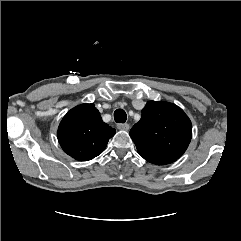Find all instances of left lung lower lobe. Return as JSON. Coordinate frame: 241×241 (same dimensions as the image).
I'll return each mask as SVG.
<instances>
[{
    "mask_svg": "<svg viewBox=\"0 0 241 241\" xmlns=\"http://www.w3.org/2000/svg\"><path fill=\"white\" fill-rule=\"evenodd\" d=\"M145 160L149 161L150 163L156 164V165H165L172 163L176 161L177 159L169 158V157H159V156H150V155H144L140 154Z\"/></svg>",
    "mask_w": 241,
    "mask_h": 241,
    "instance_id": "0a47b994",
    "label": "left lung lower lobe"
}]
</instances>
